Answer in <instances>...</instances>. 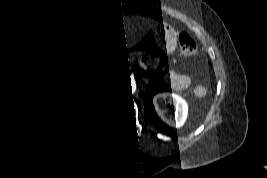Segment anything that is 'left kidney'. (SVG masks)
<instances>
[{"instance_id":"obj_1","label":"left kidney","mask_w":267,"mask_h":178,"mask_svg":"<svg viewBox=\"0 0 267 178\" xmlns=\"http://www.w3.org/2000/svg\"><path fill=\"white\" fill-rule=\"evenodd\" d=\"M158 116L171 127L178 128L186 120L187 106L183 99L171 93H159L153 98Z\"/></svg>"}]
</instances>
